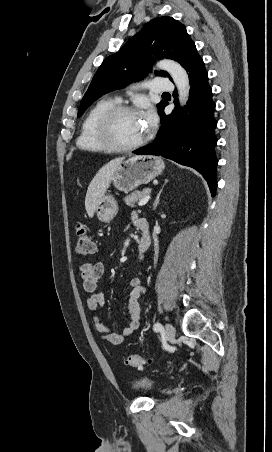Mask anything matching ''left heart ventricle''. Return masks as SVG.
I'll use <instances>...</instances> for the list:
<instances>
[{
	"label": "left heart ventricle",
	"instance_id": "left-heart-ventricle-1",
	"mask_svg": "<svg viewBox=\"0 0 272 452\" xmlns=\"http://www.w3.org/2000/svg\"><path fill=\"white\" fill-rule=\"evenodd\" d=\"M114 137L123 144H131L147 133V127L142 117L137 113H124L119 115L114 122Z\"/></svg>",
	"mask_w": 272,
	"mask_h": 452
}]
</instances>
